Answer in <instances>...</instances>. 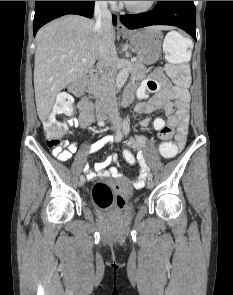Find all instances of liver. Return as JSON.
<instances>
[{
	"label": "liver",
	"mask_w": 233,
	"mask_h": 295,
	"mask_svg": "<svg viewBox=\"0 0 233 295\" xmlns=\"http://www.w3.org/2000/svg\"><path fill=\"white\" fill-rule=\"evenodd\" d=\"M158 29L169 27L158 26ZM110 36L114 42L113 27ZM36 43L35 101L39 119L45 121L60 91L84 77L100 59L99 32L94 20L66 15L40 28Z\"/></svg>",
	"instance_id": "liver-1"
}]
</instances>
